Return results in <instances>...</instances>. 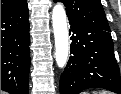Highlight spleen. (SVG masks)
Returning a JSON list of instances; mask_svg holds the SVG:
<instances>
[{
	"label": "spleen",
	"mask_w": 121,
	"mask_h": 94,
	"mask_svg": "<svg viewBox=\"0 0 121 94\" xmlns=\"http://www.w3.org/2000/svg\"><path fill=\"white\" fill-rule=\"evenodd\" d=\"M93 94H108L106 91H102V92H93Z\"/></svg>",
	"instance_id": "obj_1"
}]
</instances>
